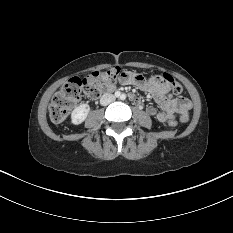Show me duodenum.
I'll use <instances>...</instances> for the list:
<instances>
[{
    "instance_id": "obj_1",
    "label": "duodenum",
    "mask_w": 233,
    "mask_h": 233,
    "mask_svg": "<svg viewBox=\"0 0 233 233\" xmlns=\"http://www.w3.org/2000/svg\"><path fill=\"white\" fill-rule=\"evenodd\" d=\"M130 99L133 100L134 102L138 103V99L136 98V96L134 94H130L129 95Z\"/></svg>"
}]
</instances>
